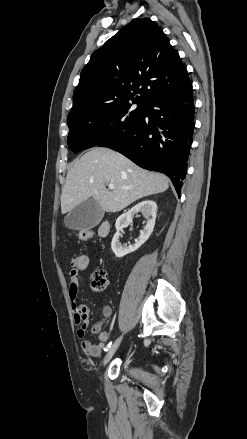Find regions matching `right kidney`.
Segmentation results:
<instances>
[{
	"instance_id": "ca27d5eb",
	"label": "right kidney",
	"mask_w": 247,
	"mask_h": 439,
	"mask_svg": "<svg viewBox=\"0 0 247 439\" xmlns=\"http://www.w3.org/2000/svg\"><path fill=\"white\" fill-rule=\"evenodd\" d=\"M139 212H141L147 220L146 226L143 230L140 231V239L134 245H130L128 247L126 245L123 246L119 241V231L127 227L132 222L133 216ZM156 215L157 204L152 200H145L136 204L130 210L123 213L117 218L115 223L116 233L114 234L111 242V248L116 257L120 258L136 251L142 244H144L149 239L155 226Z\"/></svg>"
}]
</instances>
